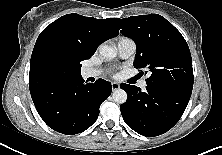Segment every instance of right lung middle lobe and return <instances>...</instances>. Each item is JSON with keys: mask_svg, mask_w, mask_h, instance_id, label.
Returning <instances> with one entry per match:
<instances>
[{"mask_svg": "<svg viewBox=\"0 0 222 155\" xmlns=\"http://www.w3.org/2000/svg\"><path fill=\"white\" fill-rule=\"evenodd\" d=\"M50 56L53 62L59 65L67 77H78L81 75L82 58L75 55L67 43L62 40L55 41L50 48Z\"/></svg>", "mask_w": 222, "mask_h": 155, "instance_id": "right-lung-middle-lobe-1", "label": "right lung middle lobe"}]
</instances>
